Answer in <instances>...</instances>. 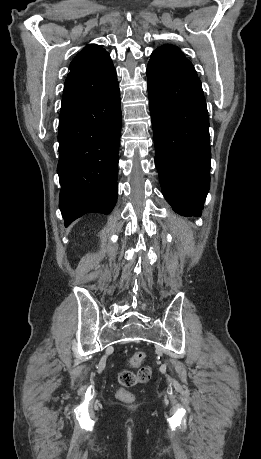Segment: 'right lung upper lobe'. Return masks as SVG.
<instances>
[{
  "instance_id": "obj_1",
  "label": "right lung upper lobe",
  "mask_w": 261,
  "mask_h": 459,
  "mask_svg": "<svg viewBox=\"0 0 261 459\" xmlns=\"http://www.w3.org/2000/svg\"><path fill=\"white\" fill-rule=\"evenodd\" d=\"M69 69L60 116L95 101L118 83L109 53L96 44L85 46L70 63Z\"/></svg>"
}]
</instances>
